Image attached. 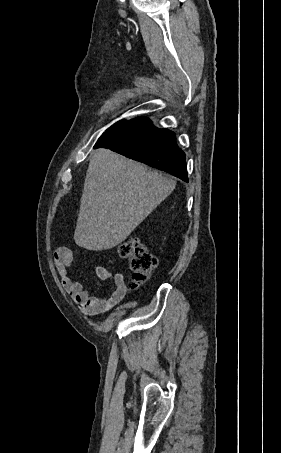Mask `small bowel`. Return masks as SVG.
<instances>
[{
  "label": "small bowel",
  "mask_w": 281,
  "mask_h": 453,
  "mask_svg": "<svg viewBox=\"0 0 281 453\" xmlns=\"http://www.w3.org/2000/svg\"><path fill=\"white\" fill-rule=\"evenodd\" d=\"M75 257L76 253L73 250L62 248L56 251L54 260L64 287L77 302L84 304L86 316L102 314L126 298L128 288L125 282V275L121 272L115 274L114 284L107 298L91 297L83 285L76 282L70 275L69 270ZM94 274L97 278L105 280L112 276L109 269L99 264L94 265Z\"/></svg>",
  "instance_id": "c3829d8e"
}]
</instances>
